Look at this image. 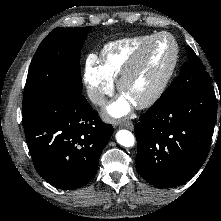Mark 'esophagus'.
Listing matches in <instances>:
<instances>
[{"mask_svg":"<svg viewBox=\"0 0 221 221\" xmlns=\"http://www.w3.org/2000/svg\"><path fill=\"white\" fill-rule=\"evenodd\" d=\"M119 127H124V128H128L132 130L134 127V124L131 121H126V122L120 123Z\"/></svg>","mask_w":221,"mask_h":221,"instance_id":"obj_1","label":"esophagus"}]
</instances>
